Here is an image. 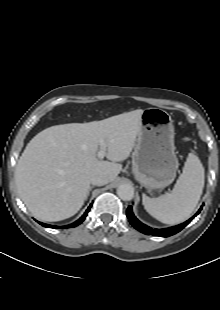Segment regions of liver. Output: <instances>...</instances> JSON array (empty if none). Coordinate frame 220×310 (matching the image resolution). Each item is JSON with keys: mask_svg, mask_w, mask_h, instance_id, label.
I'll use <instances>...</instances> for the list:
<instances>
[{"mask_svg": "<svg viewBox=\"0 0 220 310\" xmlns=\"http://www.w3.org/2000/svg\"><path fill=\"white\" fill-rule=\"evenodd\" d=\"M144 110L122 113L101 121L70 123L44 129L27 144L20 156L15 181L19 195L42 221H61L83 206L91 177L116 179L136 142ZM100 140L106 158L99 160Z\"/></svg>", "mask_w": 220, "mask_h": 310, "instance_id": "obj_1", "label": "liver"}]
</instances>
